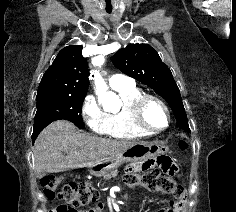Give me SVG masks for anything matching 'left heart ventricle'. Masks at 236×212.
Wrapping results in <instances>:
<instances>
[{
  "mask_svg": "<svg viewBox=\"0 0 236 212\" xmlns=\"http://www.w3.org/2000/svg\"><path fill=\"white\" fill-rule=\"evenodd\" d=\"M145 119L149 125L155 128H162L167 124L165 111L155 102H150L147 105L145 110Z\"/></svg>",
  "mask_w": 236,
  "mask_h": 212,
  "instance_id": "b2bd125f",
  "label": "left heart ventricle"
}]
</instances>
